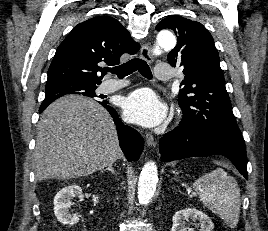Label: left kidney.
I'll return each instance as SVG.
<instances>
[{
    "label": "left kidney",
    "mask_w": 268,
    "mask_h": 231,
    "mask_svg": "<svg viewBox=\"0 0 268 231\" xmlns=\"http://www.w3.org/2000/svg\"><path fill=\"white\" fill-rule=\"evenodd\" d=\"M191 220H199L201 223L199 231H213L214 224L211 219L203 212L195 208H186L177 211L173 216V226L171 231H194L187 226V222Z\"/></svg>",
    "instance_id": "left-kidney-1"
}]
</instances>
